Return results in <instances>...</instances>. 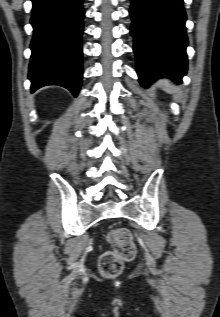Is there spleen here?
<instances>
[{
    "label": "spleen",
    "instance_id": "1",
    "mask_svg": "<svg viewBox=\"0 0 220 317\" xmlns=\"http://www.w3.org/2000/svg\"><path fill=\"white\" fill-rule=\"evenodd\" d=\"M161 85L168 91L169 93H174L175 88L168 80H161L159 81Z\"/></svg>",
    "mask_w": 220,
    "mask_h": 317
}]
</instances>
